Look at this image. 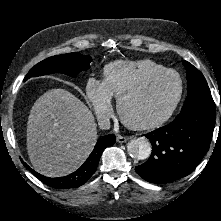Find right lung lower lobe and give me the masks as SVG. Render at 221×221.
I'll use <instances>...</instances> for the list:
<instances>
[{
  "mask_svg": "<svg viewBox=\"0 0 221 221\" xmlns=\"http://www.w3.org/2000/svg\"><path fill=\"white\" fill-rule=\"evenodd\" d=\"M115 142H116V137L113 134H109L101 138L96 143L92 153L84 162V164L75 172L64 177H58V178L45 177L35 172L34 170L30 169V167L24 162L23 164L27 168H29L38 179H40L43 183H45L46 185L52 188L74 189V188L82 186L84 183H86L90 179V177L94 174V172L97 169L103 150L106 147L113 145Z\"/></svg>",
  "mask_w": 221,
  "mask_h": 221,
  "instance_id": "98d812e1",
  "label": "right lung lower lobe"
}]
</instances>
